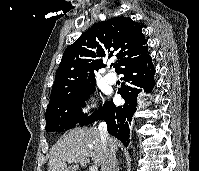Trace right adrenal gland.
<instances>
[{
	"mask_svg": "<svg viewBox=\"0 0 199 171\" xmlns=\"http://www.w3.org/2000/svg\"><path fill=\"white\" fill-rule=\"evenodd\" d=\"M116 171H119V162H117V170Z\"/></svg>",
	"mask_w": 199,
	"mask_h": 171,
	"instance_id": "right-adrenal-gland-1",
	"label": "right adrenal gland"
}]
</instances>
